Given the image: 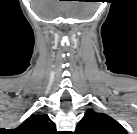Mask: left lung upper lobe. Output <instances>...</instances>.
Instances as JSON below:
<instances>
[{"label":"left lung upper lobe","mask_w":137,"mask_h":134,"mask_svg":"<svg viewBox=\"0 0 137 134\" xmlns=\"http://www.w3.org/2000/svg\"><path fill=\"white\" fill-rule=\"evenodd\" d=\"M75 134H127V132L110 116L88 109L77 124Z\"/></svg>","instance_id":"left-lung-upper-lobe-1"}]
</instances>
